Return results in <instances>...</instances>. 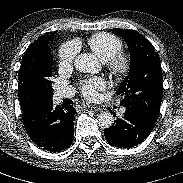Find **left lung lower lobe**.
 Segmentation results:
<instances>
[{"label":"left lung lower lobe","instance_id":"left-lung-lower-lobe-1","mask_svg":"<svg viewBox=\"0 0 183 183\" xmlns=\"http://www.w3.org/2000/svg\"><path fill=\"white\" fill-rule=\"evenodd\" d=\"M156 120L157 118L140 109L126 107L124 116L106 129L104 136L111 146L129 149L148 137Z\"/></svg>","mask_w":183,"mask_h":183}]
</instances>
